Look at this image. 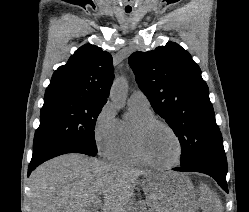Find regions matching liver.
Segmentation results:
<instances>
[{"instance_id":"1","label":"liver","mask_w":249,"mask_h":212,"mask_svg":"<svg viewBox=\"0 0 249 212\" xmlns=\"http://www.w3.org/2000/svg\"><path fill=\"white\" fill-rule=\"evenodd\" d=\"M142 182L150 210L160 212L164 190L173 172H148L138 168L111 166L83 154H65L48 160L30 176L32 212H95V202L104 198L103 212H126L134 188ZM199 206L203 212H221V202L205 184L200 186ZM156 198L155 202H153Z\"/></svg>"}]
</instances>
